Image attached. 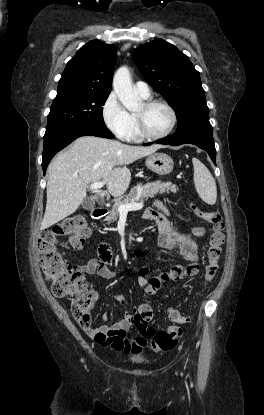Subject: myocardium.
<instances>
[{"label": "myocardium", "mask_w": 264, "mask_h": 415, "mask_svg": "<svg viewBox=\"0 0 264 415\" xmlns=\"http://www.w3.org/2000/svg\"><path fill=\"white\" fill-rule=\"evenodd\" d=\"M156 105L164 106L170 112V114H171V124H170L169 128L165 132H163L162 134L153 135V134H150L147 131L143 115L140 114V113H135L134 115H135V119H136L137 132H138L139 136L142 139H147V140H161V139H164L167 136H169L176 127L177 120H178L177 113H176L175 109L167 101L162 100V99H150V100H147L143 103V106H144L145 109L152 108Z\"/></svg>", "instance_id": "obj_1"}]
</instances>
